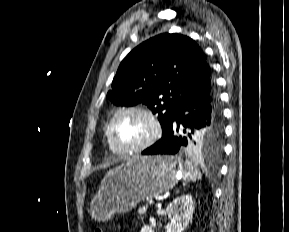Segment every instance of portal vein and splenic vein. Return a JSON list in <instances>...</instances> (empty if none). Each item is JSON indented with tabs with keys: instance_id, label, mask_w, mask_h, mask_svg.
Wrapping results in <instances>:
<instances>
[{
	"instance_id": "portal-vein-and-splenic-vein-1",
	"label": "portal vein and splenic vein",
	"mask_w": 289,
	"mask_h": 232,
	"mask_svg": "<svg viewBox=\"0 0 289 232\" xmlns=\"http://www.w3.org/2000/svg\"><path fill=\"white\" fill-rule=\"evenodd\" d=\"M148 203H149L150 205H152V204L154 203V201H153V200H149Z\"/></svg>"
}]
</instances>
